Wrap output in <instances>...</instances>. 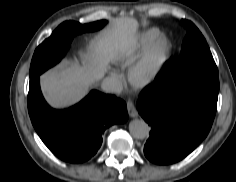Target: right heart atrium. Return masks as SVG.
<instances>
[{"mask_svg":"<svg viewBox=\"0 0 236 182\" xmlns=\"http://www.w3.org/2000/svg\"><path fill=\"white\" fill-rule=\"evenodd\" d=\"M110 79L114 85H120L122 83V76L116 71L110 72Z\"/></svg>","mask_w":236,"mask_h":182,"instance_id":"1","label":"right heart atrium"}]
</instances>
